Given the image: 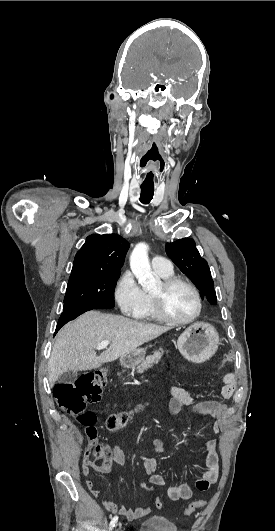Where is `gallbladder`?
<instances>
[{"mask_svg":"<svg viewBox=\"0 0 275 531\" xmlns=\"http://www.w3.org/2000/svg\"><path fill=\"white\" fill-rule=\"evenodd\" d=\"M76 379H78V373H64V375H61L59 377V383H64V385H72V383H75Z\"/></svg>","mask_w":275,"mask_h":531,"instance_id":"gallbladder-1","label":"gallbladder"}]
</instances>
